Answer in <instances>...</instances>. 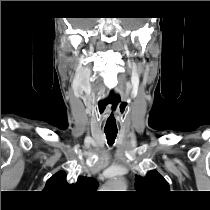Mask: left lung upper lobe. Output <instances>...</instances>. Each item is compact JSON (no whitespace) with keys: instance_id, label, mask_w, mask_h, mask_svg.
Segmentation results:
<instances>
[{"instance_id":"5c2ea615","label":"left lung upper lobe","mask_w":210,"mask_h":210,"mask_svg":"<svg viewBox=\"0 0 210 210\" xmlns=\"http://www.w3.org/2000/svg\"><path fill=\"white\" fill-rule=\"evenodd\" d=\"M136 190L143 193H160L169 190L168 182L156 171L151 170L146 177L136 175Z\"/></svg>"}]
</instances>
